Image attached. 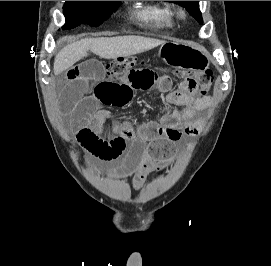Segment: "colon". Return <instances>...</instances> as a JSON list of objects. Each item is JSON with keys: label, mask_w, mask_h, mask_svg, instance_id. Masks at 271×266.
<instances>
[{"label": "colon", "mask_w": 271, "mask_h": 266, "mask_svg": "<svg viewBox=\"0 0 271 266\" xmlns=\"http://www.w3.org/2000/svg\"><path fill=\"white\" fill-rule=\"evenodd\" d=\"M142 63L133 57L119 58L107 65V72L108 75L117 77L124 74L131 67ZM177 75L183 78L181 88L189 93L206 94L213 83V73L210 70H202L188 75L178 73Z\"/></svg>", "instance_id": "colon-1"}]
</instances>
